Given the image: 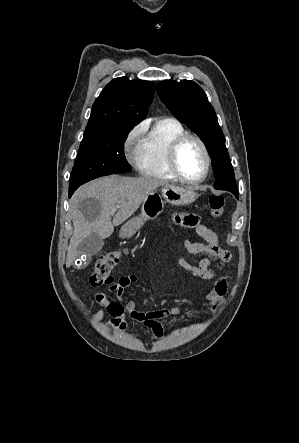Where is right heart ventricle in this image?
I'll list each match as a JSON object with an SVG mask.
<instances>
[{
	"label": "right heart ventricle",
	"instance_id": "right-heart-ventricle-1",
	"mask_svg": "<svg viewBox=\"0 0 299 443\" xmlns=\"http://www.w3.org/2000/svg\"><path fill=\"white\" fill-rule=\"evenodd\" d=\"M186 133L183 124L175 118H163L154 123L140 145L138 168L150 178L176 181L172 173L168 153L172 142Z\"/></svg>",
	"mask_w": 299,
	"mask_h": 443
}]
</instances>
